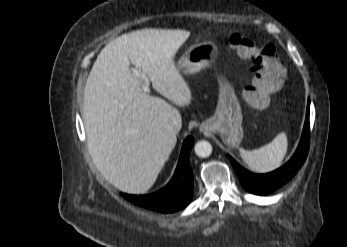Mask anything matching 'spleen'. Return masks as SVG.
Masks as SVG:
<instances>
[{
	"instance_id": "1",
	"label": "spleen",
	"mask_w": 347,
	"mask_h": 247,
	"mask_svg": "<svg viewBox=\"0 0 347 247\" xmlns=\"http://www.w3.org/2000/svg\"><path fill=\"white\" fill-rule=\"evenodd\" d=\"M288 150V137L279 133L272 142L254 150H241L240 155L250 170L256 173H268L277 169Z\"/></svg>"
}]
</instances>
